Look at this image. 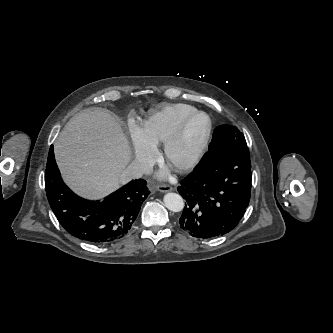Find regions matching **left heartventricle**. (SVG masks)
Returning a JSON list of instances; mask_svg holds the SVG:
<instances>
[{"label":"left heart ventricle","mask_w":333,"mask_h":333,"mask_svg":"<svg viewBox=\"0 0 333 333\" xmlns=\"http://www.w3.org/2000/svg\"><path fill=\"white\" fill-rule=\"evenodd\" d=\"M205 126L206 120L202 116L196 117L191 121V123L187 127L184 141L175 155V158L178 162L185 160L190 155V153L198 143L199 139L201 138Z\"/></svg>","instance_id":"b2bd125f"}]
</instances>
